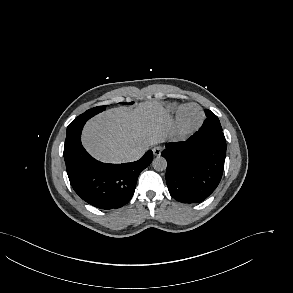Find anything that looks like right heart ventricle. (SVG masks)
<instances>
[{
	"mask_svg": "<svg viewBox=\"0 0 293 293\" xmlns=\"http://www.w3.org/2000/svg\"><path fill=\"white\" fill-rule=\"evenodd\" d=\"M178 109H179V107L176 106V105H172V106L169 107V110H170L171 112H173V113L177 112Z\"/></svg>",
	"mask_w": 293,
	"mask_h": 293,
	"instance_id": "right-heart-ventricle-1",
	"label": "right heart ventricle"
}]
</instances>
